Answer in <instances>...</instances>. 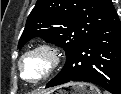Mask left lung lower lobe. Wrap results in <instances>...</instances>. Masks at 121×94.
Instances as JSON below:
<instances>
[{"label": "left lung lower lobe", "mask_w": 121, "mask_h": 94, "mask_svg": "<svg viewBox=\"0 0 121 94\" xmlns=\"http://www.w3.org/2000/svg\"><path fill=\"white\" fill-rule=\"evenodd\" d=\"M72 81L91 82L112 94H121V22L118 17L74 50L46 88Z\"/></svg>", "instance_id": "obj_1"}]
</instances>
